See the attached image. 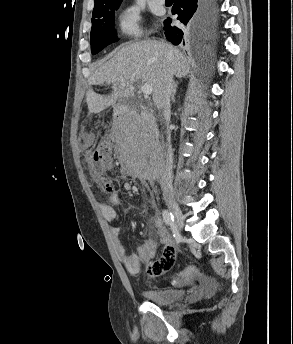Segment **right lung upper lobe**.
Listing matches in <instances>:
<instances>
[{"mask_svg": "<svg viewBox=\"0 0 293 344\" xmlns=\"http://www.w3.org/2000/svg\"><path fill=\"white\" fill-rule=\"evenodd\" d=\"M94 1H95L94 9H98V8L105 7L115 2L122 1V0H94Z\"/></svg>", "mask_w": 293, "mask_h": 344, "instance_id": "1", "label": "right lung upper lobe"}]
</instances>
